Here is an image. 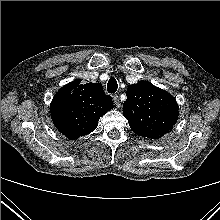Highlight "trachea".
<instances>
[{"instance_id":"trachea-1","label":"trachea","mask_w":220,"mask_h":220,"mask_svg":"<svg viewBox=\"0 0 220 220\" xmlns=\"http://www.w3.org/2000/svg\"><path fill=\"white\" fill-rule=\"evenodd\" d=\"M118 89V83L115 78H111L107 84V91L109 93H115Z\"/></svg>"}]
</instances>
